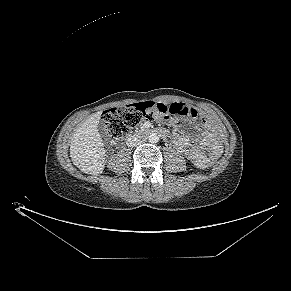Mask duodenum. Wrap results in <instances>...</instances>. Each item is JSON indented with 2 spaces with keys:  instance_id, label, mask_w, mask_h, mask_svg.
I'll use <instances>...</instances> for the list:
<instances>
[{
  "instance_id": "obj_1",
  "label": "duodenum",
  "mask_w": 291,
  "mask_h": 291,
  "mask_svg": "<svg viewBox=\"0 0 291 291\" xmlns=\"http://www.w3.org/2000/svg\"><path fill=\"white\" fill-rule=\"evenodd\" d=\"M150 132H151L150 130L143 129V130H140L138 132V135L145 136V135H148ZM155 132L156 133H162V131H160V130H156Z\"/></svg>"
}]
</instances>
